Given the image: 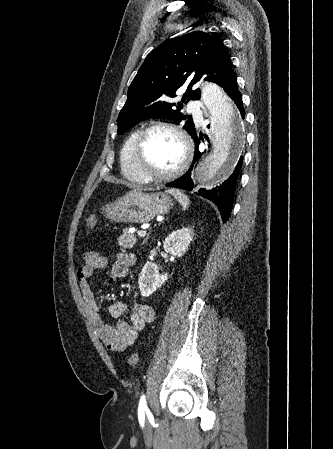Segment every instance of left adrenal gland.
Masks as SVG:
<instances>
[{"mask_svg":"<svg viewBox=\"0 0 333 449\" xmlns=\"http://www.w3.org/2000/svg\"><path fill=\"white\" fill-rule=\"evenodd\" d=\"M149 235L146 236V238L143 240V244L148 240Z\"/></svg>","mask_w":333,"mask_h":449,"instance_id":"obj_1","label":"left adrenal gland"}]
</instances>
